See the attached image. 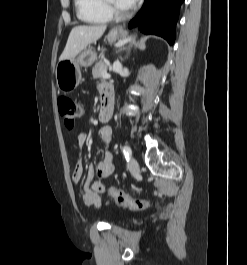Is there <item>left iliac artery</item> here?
<instances>
[{
    "instance_id": "1",
    "label": "left iliac artery",
    "mask_w": 247,
    "mask_h": 265,
    "mask_svg": "<svg viewBox=\"0 0 247 265\" xmlns=\"http://www.w3.org/2000/svg\"><path fill=\"white\" fill-rule=\"evenodd\" d=\"M122 150H123L126 160L129 161L131 157V153H132L130 147L127 145H124Z\"/></svg>"
}]
</instances>
